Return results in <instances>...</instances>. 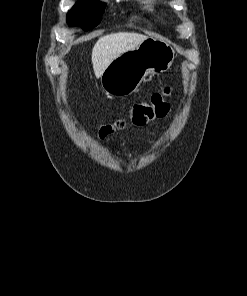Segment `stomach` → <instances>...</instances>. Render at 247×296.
<instances>
[{
	"label": "stomach",
	"instance_id": "0dacf381",
	"mask_svg": "<svg viewBox=\"0 0 247 296\" xmlns=\"http://www.w3.org/2000/svg\"><path fill=\"white\" fill-rule=\"evenodd\" d=\"M174 57L175 51L168 43L147 37L109 64L101 76L102 88L110 96L130 95L147 75L167 71Z\"/></svg>",
	"mask_w": 247,
	"mask_h": 296
}]
</instances>
